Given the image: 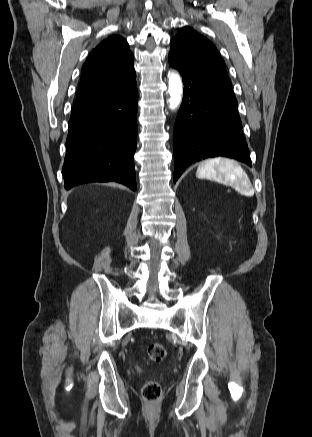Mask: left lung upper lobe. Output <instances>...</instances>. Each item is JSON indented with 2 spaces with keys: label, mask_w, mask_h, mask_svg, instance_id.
Listing matches in <instances>:
<instances>
[{
  "label": "left lung upper lobe",
  "mask_w": 312,
  "mask_h": 437,
  "mask_svg": "<svg viewBox=\"0 0 312 437\" xmlns=\"http://www.w3.org/2000/svg\"><path fill=\"white\" fill-rule=\"evenodd\" d=\"M169 56L181 65L234 94L225 62L216 47L190 27L182 28L171 40Z\"/></svg>",
  "instance_id": "5c2ea615"
}]
</instances>
